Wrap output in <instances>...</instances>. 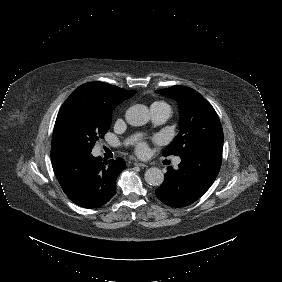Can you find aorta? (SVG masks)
Wrapping results in <instances>:
<instances>
[{
    "label": "aorta",
    "instance_id": "1",
    "mask_svg": "<svg viewBox=\"0 0 282 282\" xmlns=\"http://www.w3.org/2000/svg\"><path fill=\"white\" fill-rule=\"evenodd\" d=\"M150 111L146 105L137 104L126 112V120L133 126H143L150 121ZM145 180L151 186H159L164 181V173L157 167L149 168L145 173Z\"/></svg>",
    "mask_w": 282,
    "mask_h": 282
}]
</instances>
